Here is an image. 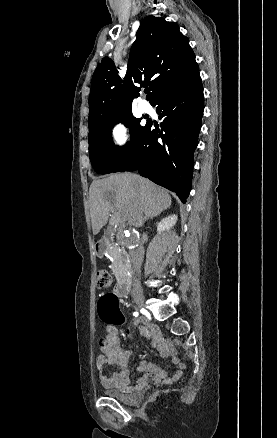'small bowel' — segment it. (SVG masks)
Listing matches in <instances>:
<instances>
[{"mask_svg":"<svg viewBox=\"0 0 277 438\" xmlns=\"http://www.w3.org/2000/svg\"><path fill=\"white\" fill-rule=\"evenodd\" d=\"M127 331L132 333L134 328L129 326ZM105 333V341L101 345L100 354L96 359V364L99 368L97 369L96 374L100 377L101 384L104 387L116 388L121 392L128 393L133 390L143 389L148 383L151 375H154L157 380L169 379L164 371L159 370L152 365L151 360H144L140 365V369L143 371L140 380L134 386H130L128 369L130 352L121 344L119 331L116 327L108 326L105 329ZM138 335L140 337H152V343L157 344L159 351L158 355L162 358L167 357L169 352L168 349L172 348V343L162 342L163 338L159 335L158 330H156L154 326H150L148 330H146V328H140ZM173 361L178 366L177 372L172 378L173 380H176L185 370V364L182 363L178 358H174ZM105 364L116 365L118 367V371L113 373L110 369L104 371L102 367Z\"/></svg>","mask_w":277,"mask_h":438,"instance_id":"c3829d8e","label":"small bowel"}]
</instances>
